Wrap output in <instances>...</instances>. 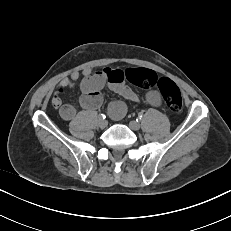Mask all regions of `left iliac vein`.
Here are the masks:
<instances>
[{
    "mask_svg": "<svg viewBox=\"0 0 231 231\" xmlns=\"http://www.w3.org/2000/svg\"><path fill=\"white\" fill-rule=\"evenodd\" d=\"M129 127L133 131H138L140 129V124L135 120H131L129 122Z\"/></svg>",
    "mask_w": 231,
    "mask_h": 231,
    "instance_id": "obj_1",
    "label": "left iliac vein"
}]
</instances>
